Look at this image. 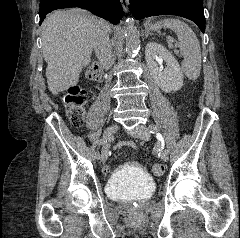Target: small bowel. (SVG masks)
<instances>
[{"instance_id":"c3829d8e","label":"small bowel","mask_w":240,"mask_h":238,"mask_svg":"<svg viewBox=\"0 0 240 238\" xmlns=\"http://www.w3.org/2000/svg\"><path fill=\"white\" fill-rule=\"evenodd\" d=\"M123 146H124L123 143H116L115 151H122ZM129 147L130 148H138L139 144L138 143H130ZM112 165H113L112 161H109L108 164H103V169H105V170L102 171V174L103 175H108L109 171H110V166H112Z\"/></svg>"}]
</instances>
